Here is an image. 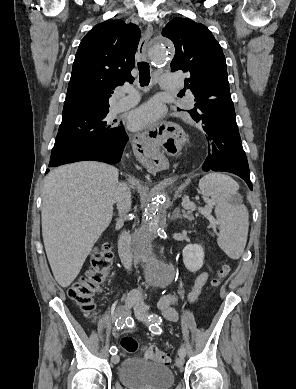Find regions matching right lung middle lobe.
<instances>
[{"instance_id":"dd1d6c3e","label":"right lung middle lobe","mask_w":296,"mask_h":389,"mask_svg":"<svg viewBox=\"0 0 296 389\" xmlns=\"http://www.w3.org/2000/svg\"><path fill=\"white\" fill-rule=\"evenodd\" d=\"M107 114L108 111L62 117L51 155L120 137L123 126L112 127L106 119Z\"/></svg>"}]
</instances>
